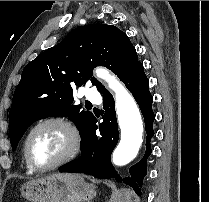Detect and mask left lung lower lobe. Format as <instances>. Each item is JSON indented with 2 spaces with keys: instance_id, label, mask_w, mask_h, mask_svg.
Segmentation results:
<instances>
[{
  "instance_id": "obj_1",
  "label": "left lung lower lobe",
  "mask_w": 209,
  "mask_h": 202,
  "mask_svg": "<svg viewBox=\"0 0 209 202\" xmlns=\"http://www.w3.org/2000/svg\"><path fill=\"white\" fill-rule=\"evenodd\" d=\"M121 81L138 103L144 117L147 133L145 155L141 161L130 168L131 177L121 178L111 163V153L118 142L119 132L115 102L109 91L103 93V108L105 109V114L102 116L103 122L97 126V119L94 117L82 137L80 148L83 156L60 167L59 172H82L100 179H116L131 186L138 195H141L140 187L144 176L147 174L146 162L151 154L150 140L154 135L153 97L149 92V80L144 73L142 63L133 68ZM97 129L100 131V136L96 135Z\"/></svg>"
}]
</instances>
